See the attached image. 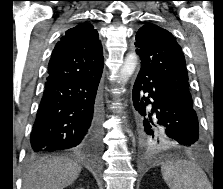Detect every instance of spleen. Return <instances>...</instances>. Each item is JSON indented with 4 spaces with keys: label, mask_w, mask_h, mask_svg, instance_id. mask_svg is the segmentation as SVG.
I'll return each instance as SVG.
<instances>
[{
    "label": "spleen",
    "mask_w": 223,
    "mask_h": 189,
    "mask_svg": "<svg viewBox=\"0 0 223 189\" xmlns=\"http://www.w3.org/2000/svg\"><path fill=\"white\" fill-rule=\"evenodd\" d=\"M161 172L170 189H210L206 174L192 162H167Z\"/></svg>",
    "instance_id": "3e777b00"
}]
</instances>
